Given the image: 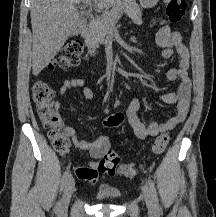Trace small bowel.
Masks as SVG:
<instances>
[{"mask_svg": "<svg viewBox=\"0 0 216 217\" xmlns=\"http://www.w3.org/2000/svg\"><path fill=\"white\" fill-rule=\"evenodd\" d=\"M152 26L157 28L155 39L156 43L163 48L162 57L165 59L177 57L178 59V67L168 70L166 80L172 82L180 79V84L177 92L164 93L159 96V99L165 104H176L174 115L163 123L153 121L145 124L138 115L140 108L139 98H134L131 101L127 110L128 121L135 135L142 140L168 132L182 123L188 114L191 100V80L188 76L190 53L182 42L181 34L178 31L172 30L168 21L161 16L153 20ZM75 88L82 89L85 98L94 99L96 97L94 90L87 87L85 80L81 78L64 81L60 85L58 92L61 95H66L70 90ZM55 106L58 110H61V103L59 101L55 103ZM64 131L75 147L87 151L91 157L86 166L75 170L77 178L92 184L96 183L98 181V163L103 154L110 150V137L101 136L93 142H88L79 139L76 130L70 126H66ZM103 186L106 187L105 182H103Z\"/></svg>", "mask_w": 216, "mask_h": 217, "instance_id": "obj_1", "label": "small bowel"}]
</instances>
